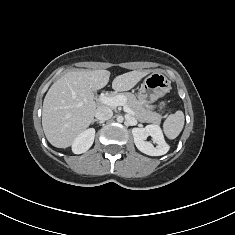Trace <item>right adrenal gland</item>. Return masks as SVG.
Instances as JSON below:
<instances>
[{"label": "right adrenal gland", "mask_w": 235, "mask_h": 235, "mask_svg": "<svg viewBox=\"0 0 235 235\" xmlns=\"http://www.w3.org/2000/svg\"><path fill=\"white\" fill-rule=\"evenodd\" d=\"M96 121H98V120H96V119L93 120V122H96Z\"/></svg>", "instance_id": "obj_1"}]
</instances>
